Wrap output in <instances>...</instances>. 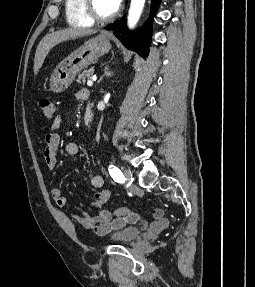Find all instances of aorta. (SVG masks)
<instances>
[{"instance_id":"aorta-1","label":"aorta","mask_w":255,"mask_h":287,"mask_svg":"<svg viewBox=\"0 0 255 287\" xmlns=\"http://www.w3.org/2000/svg\"><path fill=\"white\" fill-rule=\"evenodd\" d=\"M145 0H131V5L128 14V25L133 27L140 18L144 7Z\"/></svg>"}]
</instances>
